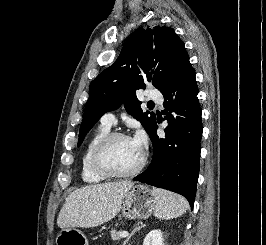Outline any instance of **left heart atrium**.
<instances>
[{
  "instance_id": "39dd6f15",
  "label": "left heart atrium",
  "mask_w": 266,
  "mask_h": 245,
  "mask_svg": "<svg viewBox=\"0 0 266 245\" xmlns=\"http://www.w3.org/2000/svg\"><path fill=\"white\" fill-rule=\"evenodd\" d=\"M133 145L141 151L142 146L144 144V136L141 131H137L136 134L130 139Z\"/></svg>"
}]
</instances>
